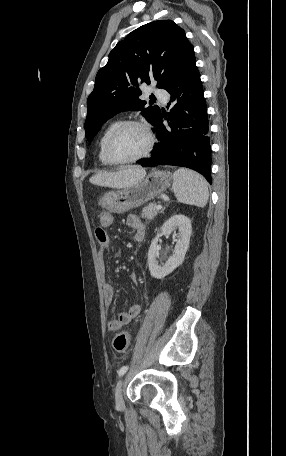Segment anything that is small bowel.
<instances>
[{
    "label": "small bowel",
    "mask_w": 286,
    "mask_h": 456,
    "mask_svg": "<svg viewBox=\"0 0 286 456\" xmlns=\"http://www.w3.org/2000/svg\"><path fill=\"white\" fill-rule=\"evenodd\" d=\"M113 220L114 217L111 212H103L100 215L101 226L96 229V238L98 242V259L100 262L101 274L103 279V299L106 305H110L114 298V288L107 277V271L105 266L106 255L110 245V240L105 229L109 228L112 225ZM126 224L134 230L135 237L137 240H141L143 238L145 232V225L137 215H128L126 218ZM120 256V252L115 253V257ZM131 278L134 281H137V273L133 272L131 274ZM140 311L141 306L139 304H134L130 306L127 311L120 312L116 319H112L108 322V330L110 332L120 330L124 325L130 323L134 318H136L140 314Z\"/></svg>",
    "instance_id": "1"
}]
</instances>
